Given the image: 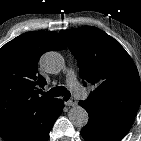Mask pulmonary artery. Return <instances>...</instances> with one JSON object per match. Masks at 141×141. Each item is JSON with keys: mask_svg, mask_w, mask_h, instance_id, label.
<instances>
[{"mask_svg": "<svg viewBox=\"0 0 141 141\" xmlns=\"http://www.w3.org/2000/svg\"><path fill=\"white\" fill-rule=\"evenodd\" d=\"M67 82L74 93H76L78 95L82 93V89H81L80 85L78 84L76 78L72 74L68 75Z\"/></svg>", "mask_w": 141, "mask_h": 141, "instance_id": "obj_1", "label": "pulmonary artery"}]
</instances>
